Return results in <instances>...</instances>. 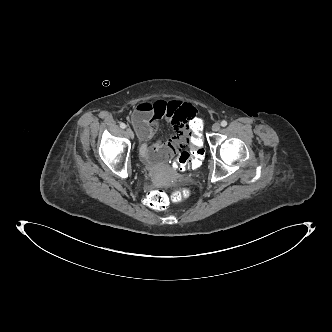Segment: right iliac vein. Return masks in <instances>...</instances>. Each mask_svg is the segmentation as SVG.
I'll return each instance as SVG.
<instances>
[{
	"mask_svg": "<svg viewBox=\"0 0 332 332\" xmlns=\"http://www.w3.org/2000/svg\"><path fill=\"white\" fill-rule=\"evenodd\" d=\"M126 134H127V136L130 137L131 139L134 138V133H133V131H132V129H131L130 127H128V128L126 129Z\"/></svg>",
	"mask_w": 332,
	"mask_h": 332,
	"instance_id": "63e3f726",
	"label": "right iliac vein"
}]
</instances>
